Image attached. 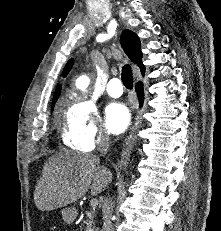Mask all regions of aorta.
<instances>
[{
  "instance_id": "762f6f07",
  "label": "aorta",
  "mask_w": 221,
  "mask_h": 231,
  "mask_svg": "<svg viewBox=\"0 0 221 231\" xmlns=\"http://www.w3.org/2000/svg\"><path fill=\"white\" fill-rule=\"evenodd\" d=\"M88 84L89 78L87 76H82L76 81V86L81 90H85Z\"/></svg>"
}]
</instances>
